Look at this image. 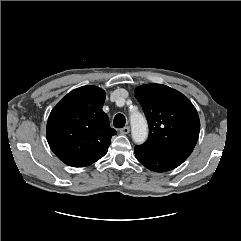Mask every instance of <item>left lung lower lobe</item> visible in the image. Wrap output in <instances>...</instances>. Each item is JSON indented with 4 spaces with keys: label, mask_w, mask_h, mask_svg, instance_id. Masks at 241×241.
<instances>
[{
    "label": "left lung lower lobe",
    "mask_w": 241,
    "mask_h": 241,
    "mask_svg": "<svg viewBox=\"0 0 241 241\" xmlns=\"http://www.w3.org/2000/svg\"><path fill=\"white\" fill-rule=\"evenodd\" d=\"M190 155L183 151L158 150L145 145L135 147L137 160L155 172H166L178 167Z\"/></svg>",
    "instance_id": "1"
}]
</instances>
